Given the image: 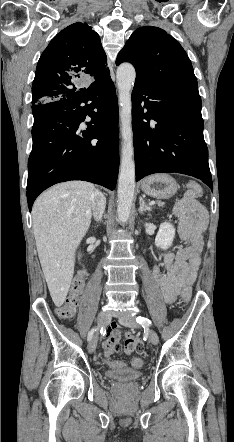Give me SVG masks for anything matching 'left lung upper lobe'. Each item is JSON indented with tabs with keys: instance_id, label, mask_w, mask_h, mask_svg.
Here are the masks:
<instances>
[{
	"instance_id": "1",
	"label": "left lung upper lobe",
	"mask_w": 234,
	"mask_h": 442,
	"mask_svg": "<svg viewBox=\"0 0 234 442\" xmlns=\"http://www.w3.org/2000/svg\"><path fill=\"white\" fill-rule=\"evenodd\" d=\"M129 62L136 69V83L198 88L193 67L182 46L164 30L137 29L120 51L116 64Z\"/></svg>"
}]
</instances>
